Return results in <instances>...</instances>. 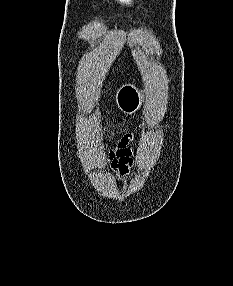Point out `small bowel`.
<instances>
[{
    "label": "small bowel",
    "mask_w": 233,
    "mask_h": 286,
    "mask_svg": "<svg viewBox=\"0 0 233 286\" xmlns=\"http://www.w3.org/2000/svg\"><path fill=\"white\" fill-rule=\"evenodd\" d=\"M108 164L116 174H128L133 165V149L129 137L122 138L117 146L109 151Z\"/></svg>",
    "instance_id": "c3829d8e"
}]
</instances>
